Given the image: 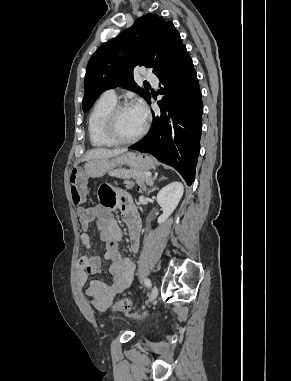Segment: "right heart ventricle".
Segmentation results:
<instances>
[{"instance_id": "right-heart-ventricle-1", "label": "right heart ventricle", "mask_w": 291, "mask_h": 381, "mask_svg": "<svg viewBox=\"0 0 291 381\" xmlns=\"http://www.w3.org/2000/svg\"><path fill=\"white\" fill-rule=\"evenodd\" d=\"M117 104L116 99L101 96L94 104L88 118V136L95 148H108L116 144L103 132V121L107 113Z\"/></svg>"}]
</instances>
